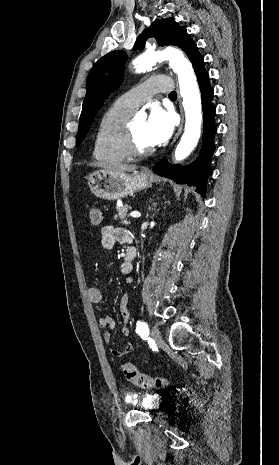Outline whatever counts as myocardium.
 Listing matches in <instances>:
<instances>
[{
	"instance_id": "obj_1",
	"label": "myocardium",
	"mask_w": 279,
	"mask_h": 465,
	"mask_svg": "<svg viewBox=\"0 0 279 465\" xmlns=\"http://www.w3.org/2000/svg\"><path fill=\"white\" fill-rule=\"evenodd\" d=\"M119 149L129 157H144L153 153L154 148L138 149L135 146L131 123H126L118 140Z\"/></svg>"
}]
</instances>
